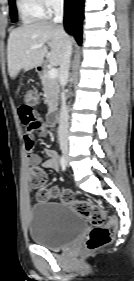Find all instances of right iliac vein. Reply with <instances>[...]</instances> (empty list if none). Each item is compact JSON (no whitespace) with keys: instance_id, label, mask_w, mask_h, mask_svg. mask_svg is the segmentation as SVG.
I'll list each match as a JSON object with an SVG mask.
<instances>
[{"instance_id":"obj_1","label":"right iliac vein","mask_w":134,"mask_h":281,"mask_svg":"<svg viewBox=\"0 0 134 281\" xmlns=\"http://www.w3.org/2000/svg\"><path fill=\"white\" fill-rule=\"evenodd\" d=\"M67 151H68L67 147H63V148H62V152H63V154H64V156H65L66 159H67ZM66 161H67V160H66Z\"/></svg>"}]
</instances>
